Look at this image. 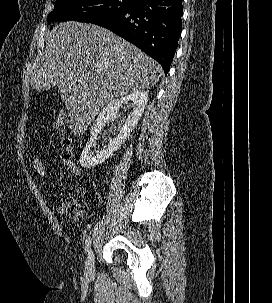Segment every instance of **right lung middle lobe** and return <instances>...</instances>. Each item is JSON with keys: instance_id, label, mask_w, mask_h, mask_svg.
Wrapping results in <instances>:
<instances>
[{"instance_id": "dd1d6c3e", "label": "right lung middle lobe", "mask_w": 272, "mask_h": 303, "mask_svg": "<svg viewBox=\"0 0 272 303\" xmlns=\"http://www.w3.org/2000/svg\"><path fill=\"white\" fill-rule=\"evenodd\" d=\"M135 0H56L48 15V24L54 21L92 23L127 10Z\"/></svg>"}]
</instances>
